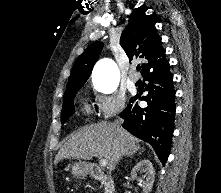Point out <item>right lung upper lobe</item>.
Here are the masks:
<instances>
[{
  "instance_id": "cb5924a9",
  "label": "right lung upper lobe",
  "mask_w": 221,
  "mask_h": 193,
  "mask_svg": "<svg viewBox=\"0 0 221 193\" xmlns=\"http://www.w3.org/2000/svg\"><path fill=\"white\" fill-rule=\"evenodd\" d=\"M120 45L129 57V61L140 59L143 62L141 70L143 77L169 65L161 37L156 32L155 21L151 15L135 13L121 35ZM101 49L102 43L96 42L76 59L66 88L83 85L86 82Z\"/></svg>"
}]
</instances>
